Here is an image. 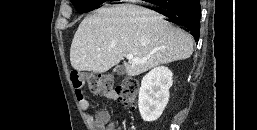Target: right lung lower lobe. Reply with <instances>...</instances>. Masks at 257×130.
Here are the masks:
<instances>
[{"mask_svg":"<svg viewBox=\"0 0 257 130\" xmlns=\"http://www.w3.org/2000/svg\"><path fill=\"white\" fill-rule=\"evenodd\" d=\"M156 5L162 8L167 21L189 29L195 40H199L200 0H169Z\"/></svg>","mask_w":257,"mask_h":130,"instance_id":"98d812e1","label":"right lung lower lobe"}]
</instances>
